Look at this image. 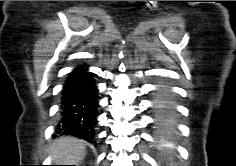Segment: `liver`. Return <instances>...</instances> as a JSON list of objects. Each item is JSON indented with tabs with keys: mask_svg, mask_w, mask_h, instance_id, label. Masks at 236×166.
I'll list each match as a JSON object with an SVG mask.
<instances>
[{
	"mask_svg": "<svg viewBox=\"0 0 236 166\" xmlns=\"http://www.w3.org/2000/svg\"><path fill=\"white\" fill-rule=\"evenodd\" d=\"M50 154L54 163L77 165L85 156V146L78 139L62 137L52 144Z\"/></svg>",
	"mask_w": 236,
	"mask_h": 166,
	"instance_id": "obj_1",
	"label": "liver"
}]
</instances>
